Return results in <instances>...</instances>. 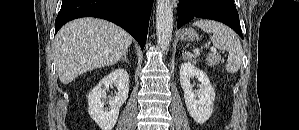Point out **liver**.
<instances>
[{
  "label": "liver",
  "mask_w": 299,
  "mask_h": 130,
  "mask_svg": "<svg viewBox=\"0 0 299 130\" xmlns=\"http://www.w3.org/2000/svg\"><path fill=\"white\" fill-rule=\"evenodd\" d=\"M132 36L119 26L97 18H81L63 26L55 36L54 60L60 81L117 63L127 53Z\"/></svg>",
  "instance_id": "1"
}]
</instances>
